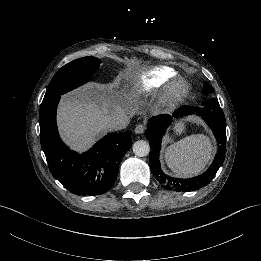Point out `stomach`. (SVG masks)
Masks as SVG:
<instances>
[{
  "label": "stomach",
  "instance_id": "1",
  "mask_svg": "<svg viewBox=\"0 0 261 261\" xmlns=\"http://www.w3.org/2000/svg\"><path fill=\"white\" fill-rule=\"evenodd\" d=\"M177 129L180 131L182 129V126H178Z\"/></svg>",
  "mask_w": 261,
  "mask_h": 261
}]
</instances>
